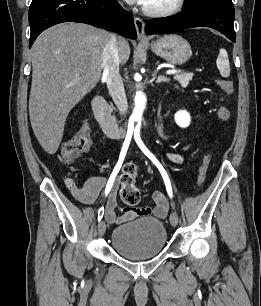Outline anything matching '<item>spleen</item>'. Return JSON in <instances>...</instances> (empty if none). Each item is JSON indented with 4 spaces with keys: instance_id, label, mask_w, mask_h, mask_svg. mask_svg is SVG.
Wrapping results in <instances>:
<instances>
[{
    "instance_id": "1",
    "label": "spleen",
    "mask_w": 261,
    "mask_h": 306,
    "mask_svg": "<svg viewBox=\"0 0 261 306\" xmlns=\"http://www.w3.org/2000/svg\"><path fill=\"white\" fill-rule=\"evenodd\" d=\"M217 68L220 72V75L224 78L229 77L230 75V64L228 55L225 49H220L219 55L216 60Z\"/></svg>"
}]
</instances>
